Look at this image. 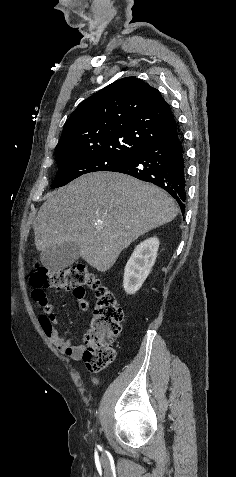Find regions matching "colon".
I'll use <instances>...</instances> for the list:
<instances>
[{
    "label": "colon",
    "mask_w": 236,
    "mask_h": 477,
    "mask_svg": "<svg viewBox=\"0 0 236 477\" xmlns=\"http://www.w3.org/2000/svg\"><path fill=\"white\" fill-rule=\"evenodd\" d=\"M33 298L47 289H74L82 295L87 288L95 292V305L85 335L84 361L88 369L100 371L115 357L114 342L121 332L124 312L114 294L104 287L84 264L59 271L38 267L29 275Z\"/></svg>",
    "instance_id": "obj_1"
}]
</instances>
